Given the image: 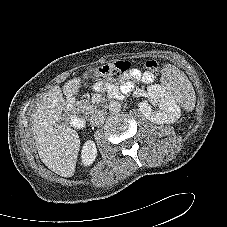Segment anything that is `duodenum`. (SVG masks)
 I'll return each instance as SVG.
<instances>
[{
    "label": "duodenum",
    "instance_id": "duodenum-1",
    "mask_svg": "<svg viewBox=\"0 0 227 227\" xmlns=\"http://www.w3.org/2000/svg\"><path fill=\"white\" fill-rule=\"evenodd\" d=\"M66 114L69 119L70 124L77 130L84 129L86 126V122L79 117L73 105H69L66 109Z\"/></svg>",
    "mask_w": 227,
    "mask_h": 227
}]
</instances>
